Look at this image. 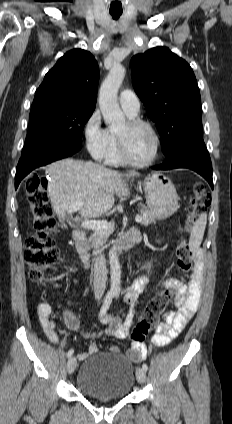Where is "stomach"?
Segmentation results:
<instances>
[{"label": "stomach", "instance_id": "obj_1", "mask_svg": "<svg viewBox=\"0 0 232 424\" xmlns=\"http://www.w3.org/2000/svg\"><path fill=\"white\" fill-rule=\"evenodd\" d=\"M146 202L154 217L166 219L179 208V198L173 183L160 173H152L142 183Z\"/></svg>", "mask_w": 232, "mask_h": 424}]
</instances>
